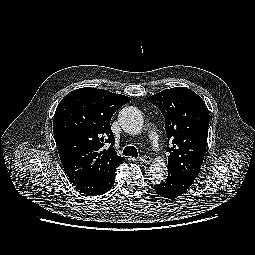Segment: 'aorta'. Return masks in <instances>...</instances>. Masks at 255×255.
<instances>
[{"label":"aorta","mask_w":255,"mask_h":255,"mask_svg":"<svg viewBox=\"0 0 255 255\" xmlns=\"http://www.w3.org/2000/svg\"><path fill=\"white\" fill-rule=\"evenodd\" d=\"M122 129L131 135L139 134L143 128L141 111L133 106L124 107L118 114ZM149 179L154 183L163 182L167 177V165L163 159L157 158L149 167Z\"/></svg>","instance_id":"aorta-1"}]
</instances>
